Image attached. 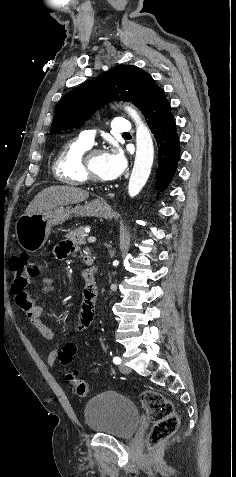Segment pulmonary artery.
Wrapping results in <instances>:
<instances>
[{
  "label": "pulmonary artery",
  "instance_id": "e3ab8cb5",
  "mask_svg": "<svg viewBox=\"0 0 236 477\" xmlns=\"http://www.w3.org/2000/svg\"><path fill=\"white\" fill-rule=\"evenodd\" d=\"M111 129L113 132H117V133H121V134H124V133H130L132 131V127H131V124L129 123V121H127L126 119L124 118H114L112 120V123H111ZM94 132L91 131V130H85V131H82L80 134H79V141L82 142L83 144L91 147L93 145V142H94Z\"/></svg>",
  "mask_w": 236,
  "mask_h": 477
}]
</instances>
